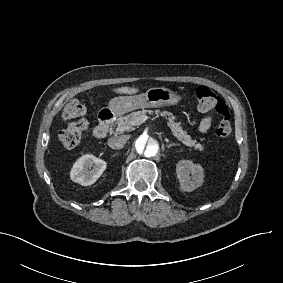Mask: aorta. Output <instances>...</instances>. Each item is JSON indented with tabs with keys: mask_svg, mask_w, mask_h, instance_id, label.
Listing matches in <instances>:
<instances>
[{
	"mask_svg": "<svg viewBox=\"0 0 283 283\" xmlns=\"http://www.w3.org/2000/svg\"><path fill=\"white\" fill-rule=\"evenodd\" d=\"M161 140L154 133L144 132L137 136L133 142V152L140 159L139 161H147L157 159L160 155Z\"/></svg>",
	"mask_w": 283,
	"mask_h": 283,
	"instance_id": "obj_1",
	"label": "aorta"
}]
</instances>
